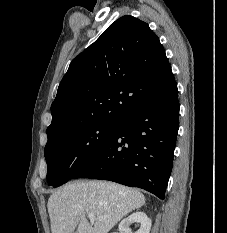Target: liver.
<instances>
[{
	"label": "liver",
	"mask_w": 227,
	"mask_h": 233,
	"mask_svg": "<svg viewBox=\"0 0 227 233\" xmlns=\"http://www.w3.org/2000/svg\"><path fill=\"white\" fill-rule=\"evenodd\" d=\"M144 203V195L132 188L106 181H76L49 197L51 232L108 233L123 217ZM89 213L95 214V220H87L85 216Z\"/></svg>",
	"instance_id": "1"
}]
</instances>
